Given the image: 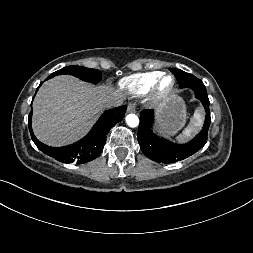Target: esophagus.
<instances>
[{
  "label": "esophagus",
  "instance_id": "34e87169",
  "mask_svg": "<svg viewBox=\"0 0 253 253\" xmlns=\"http://www.w3.org/2000/svg\"><path fill=\"white\" fill-rule=\"evenodd\" d=\"M127 111L129 112V113H133V112H135L136 111V107H135V105L134 104H129L128 105V108H127Z\"/></svg>",
  "mask_w": 253,
  "mask_h": 253
}]
</instances>
